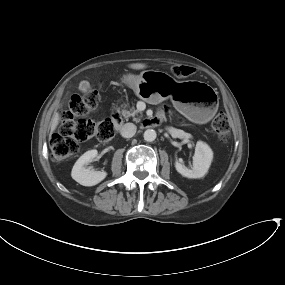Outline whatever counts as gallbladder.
I'll list each match as a JSON object with an SVG mask.
<instances>
[{
	"label": "gallbladder",
	"instance_id": "1",
	"mask_svg": "<svg viewBox=\"0 0 285 285\" xmlns=\"http://www.w3.org/2000/svg\"><path fill=\"white\" fill-rule=\"evenodd\" d=\"M89 88H90V85H89L88 82H86V81L81 82V84H80V90H81L82 92L88 91Z\"/></svg>",
	"mask_w": 285,
	"mask_h": 285
}]
</instances>
